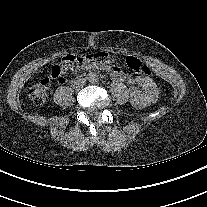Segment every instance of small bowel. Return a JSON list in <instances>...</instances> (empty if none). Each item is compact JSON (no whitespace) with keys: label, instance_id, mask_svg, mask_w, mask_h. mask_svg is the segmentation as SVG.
I'll return each instance as SVG.
<instances>
[{"label":"small bowel","instance_id":"c3829d8e","mask_svg":"<svg viewBox=\"0 0 207 207\" xmlns=\"http://www.w3.org/2000/svg\"><path fill=\"white\" fill-rule=\"evenodd\" d=\"M96 68V67H90ZM109 73L112 79L116 82H131L132 77L123 72L119 67L113 66L109 68ZM63 76L57 78L59 84L65 83ZM138 86H133L128 90L130 101L137 107L145 108L153 104L158 95V90L155 82L149 78H141L138 81Z\"/></svg>","mask_w":207,"mask_h":207}]
</instances>
